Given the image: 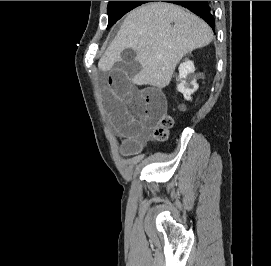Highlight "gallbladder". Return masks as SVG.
Masks as SVG:
<instances>
[{
	"label": "gallbladder",
	"instance_id": "bac80fb5",
	"mask_svg": "<svg viewBox=\"0 0 271 266\" xmlns=\"http://www.w3.org/2000/svg\"><path fill=\"white\" fill-rule=\"evenodd\" d=\"M116 71L122 75L134 77L141 70L140 63L136 60V52L133 49H126L121 53V60L115 64Z\"/></svg>",
	"mask_w": 271,
	"mask_h": 266
}]
</instances>
